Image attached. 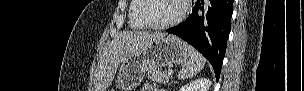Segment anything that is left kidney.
<instances>
[{
	"mask_svg": "<svg viewBox=\"0 0 304 91\" xmlns=\"http://www.w3.org/2000/svg\"><path fill=\"white\" fill-rule=\"evenodd\" d=\"M211 81L208 78H199L180 88V91H209Z\"/></svg>",
	"mask_w": 304,
	"mask_h": 91,
	"instance_id": "5707ae66",
	"label": "left kidney"
}]
</instances>
